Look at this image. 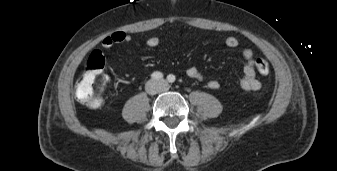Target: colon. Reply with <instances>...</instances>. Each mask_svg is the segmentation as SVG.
Listing matches in <instances>:
<instances>
[{"mask_svg":"<svg viewBox=\"0 0 337 171\" xmlns=\"http://www.w3.org/2000/svg\"><path fill=\"white\" fill-rule=\"evenodd\" d=\"M256 69L260 74L269 72V63L259 57L255 60ZM104 57L98 50L93 51L85 65L82 77L75 86V96L79 103L88 108H99L102 105L100 90L104 84L103 79Z\"/></svg>","mask_w":337,"mask_h":171,"instance_id":"1","label":"colon"}]
</instances>
